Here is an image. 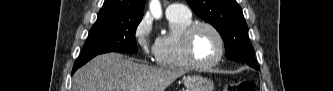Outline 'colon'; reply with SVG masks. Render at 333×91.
Returning a JSON list of instances; mask_svg holds the SVG:
<instances>
[{
  "label": "colon",
  "mask_w": 333,
  "mask_h": 91,
  "mask_svg": "<svg viewBox=\"0 0 333 91\" xmlns=\"http://www.w3.org/2000/svg\"><path fill=\"white\" fill-rule=\"evenodd\" d=\"M225 91H254L255 83L252 80H242L236 83L228 84Z\"/></svg>",
  "instance_id": "1"
}]
</instances>
